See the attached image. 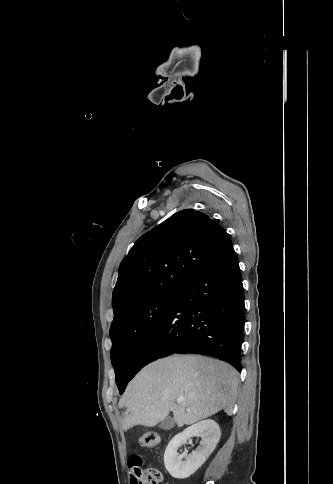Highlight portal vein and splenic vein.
<instances>
[{"instance_id": "1", "label": "portal vein and splenic vein", "mask_w": 333, "mask_h": 484, "mask_svg": "<svg viewBox=\"0 0 333 484\" xmlns=\"http://www.w3.org/2000/svg\"><path fill=\"white\" fill-rule=\"evenodd\" d=\"M176 401L177 403H181L183 401V397H178Z\"/></svg>"}]
</instances>
